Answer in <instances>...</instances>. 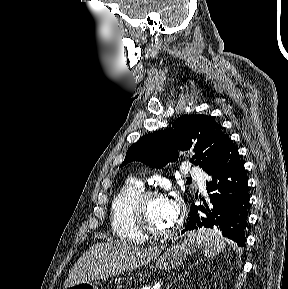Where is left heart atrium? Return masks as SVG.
<instances>
[{
    "instance_id": "obj_1",
    "label": "left heart atrium",
    "mask_w": 288,
    "mask_h": 289,
    "mask_svg": "<svg viewBox=\"0 0 288 289\" xmlns=\"http://www.w3.org/2000/svg\"><path fill=\"white\" fill-rule=\"evenodd\" d=\"M165 215L170 224H173L178 219L180 213V206L176 200L164 199Z\"/></svg>"
}]
</instances>
